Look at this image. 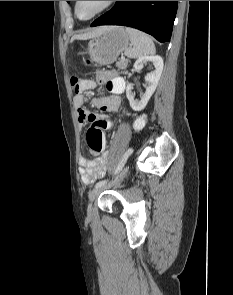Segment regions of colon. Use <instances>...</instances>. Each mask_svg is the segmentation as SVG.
I'll use <instances>...</instances> for the list:
<instances>
[{
	"instance_id": "1",
	"label": "colon",
	"mask_w": 233,
	"mask_h": 295,
	"mask_svg": "<svg viewBox=\"0 0 233 295\" xmlns=\"http://www.w3.org/2000/svg\"><path fill=\"white\" fill-rule=\"evenodd\" d=\"M71 84L76 94H83L90 91L94 87V83L92 81L80 79L77 77L72 78ZM141 124L142 119H139L136 123V126L139 127ZM87 143L91 154H100L104 147V135L102 129L93 126L89 128L87 131Z\"/></svg>"
}]
</instances>
